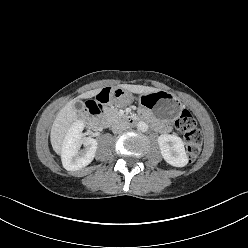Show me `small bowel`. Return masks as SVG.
<instances>
[{"label": "small bowel", "instance_id": "c3829d8e", "mask_svg": "<svg viewBox=\"0 0 248 248\" xmlns=\"http://www.w3.org/2000/svg\"><path fill=\"white\" fill-rule=\"evenodd\" d=\"M158 127L156 130H158L161 133H168L171 130V126L168 123L163 122H157Z\"/></svg>", "mask_w": 248, "mask_h": 248}]
</instances>
